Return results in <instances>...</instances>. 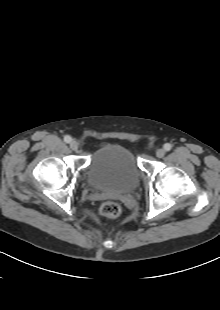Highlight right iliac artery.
I'll return each mask as SVG.
<instances>
[{"instance_id":"right-iliac-artery-1","label":"right iliac artery","mask_w":220,"mask_h":310,"mask_svg":"<svg viewBox=\"0 0 220 310\" xmlns=\"http://www.w3.org/2000/svg\"><path fill=\"white\" fill-rule=\"evenodd\" d=\"M71 140H72V138H71L69 135H66V136L64 137V141H65L66 143H70Z\"/></svg>"}]
</instances>
